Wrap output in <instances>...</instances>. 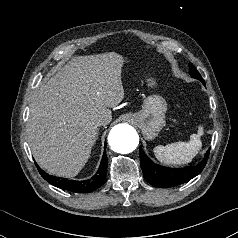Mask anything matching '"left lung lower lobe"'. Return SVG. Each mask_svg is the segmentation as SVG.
Here are the masks:
<instances>
[{
  "mask_svg": "<svg viewBox=\"0 0 238 238\" xmlns=\"http://www.w3.org/2000/svg\"><path fill=\"white\" fill-rule=\"evenodd\" d=\"M209 152L210 149L207 150L205 157L197 165L184 168H168L155 164L140 147V162L147 182L155 187L169 188L188 182L201 173L206 165Z\"/></svg>",
  "mask_w": 238,
  "mask_h": 238,
  "instance_id": "0a47b994",
  "label": "left lung lower lobe"
}]
</instances>
